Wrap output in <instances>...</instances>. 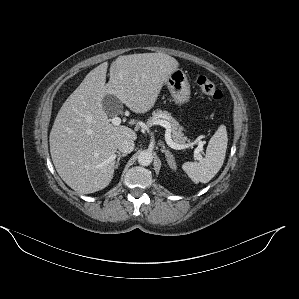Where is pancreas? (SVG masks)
<instances>
[{"mask_svg": "<svg viewBox=\"0 0 299 299\" xmlns=\"http://www.w3.org/2000/svg\"><path fill=\"white\" fill-rule=\"evenodd\" d=\"M159 118L165 119L170 124L172 138L177 144L178 143L183 144L187 141V138L184 136L182 132L183 127H181L179 123L167 111H162V110L153 111L152 117L148 119L147 123L150 125Z\"/></svg>", "mask_w": 299, "mask_h": 299, "instance_id": "cf45deb5", "label": "pancreas"}]
</instances>
